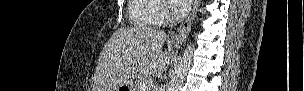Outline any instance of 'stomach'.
Wrapping results in <instances>:
<instances>
[{
	"instance_id": "0dacf381",
	"label": "stomach",
	"mask_w": 304,
	"mask_h": 91,
	"mask_svg": "<svg viewBox=\"0 0 304 91\" xmlns=\"http://www.w3.org/2000/svg\"><path fill=\"white\" fill-rule=\"evenodd\" d=\"M135 91L132 86H130L128 83L121 85L117 91Z\"/></svg>"
}]
</instances>
